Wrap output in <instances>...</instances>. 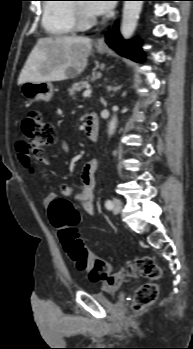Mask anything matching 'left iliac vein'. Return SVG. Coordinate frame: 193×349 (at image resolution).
Listing matches in <instances>:
<instances>
[{
  "label": "left iliac vein",
  "mask_w": 193,
  "mask_h": 349,
  "mask_svg": "<svg viewBox=\"0 0 193 349\" xmlns=\"http://www.w3.org/2000/svg\"><path fill=\"white\" fill-rule=\"evenodd\" d=\"M121 208H122V202L120 199L118 198H115L113 200V212L115 214H118L120 211H121Z\"/></svg>",
  "instance_id": "left-iliac-vein-1"
}]
</instances>
